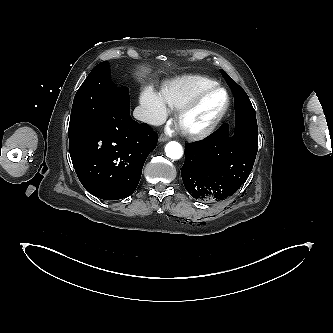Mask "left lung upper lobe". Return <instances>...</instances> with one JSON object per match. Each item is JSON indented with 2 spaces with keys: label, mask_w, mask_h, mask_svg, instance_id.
Masks as SVG:
<instances>
[{
  "label": "left lung upper lobe",
  "mask_w": 333,
  "mask_h": 333,
  "mask_svg": "<svg viewBox=\"0 0 333 333\" xmlns=\"http://www.w3.org/2000/svg\"><path fill=\"white\" fill-rule=\"evenodd\" d=\"M221 72L225 77V79L227 80L228 84L230 85L233 94L242 96L248 103H250L248 96L246 95L244 90L238 84H236L224 70L221 69Z\"/></svg>",
  "instance_id": "left-lung-upper-lobe-1"
}]
</instances>
